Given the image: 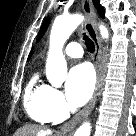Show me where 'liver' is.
<instances>
[{
  "instance_id": "1",
  "label": "liver",
  "mask_w": 136,
  "mask_h": 136,
  "mask_svg": "<svg viewBox=\"0 0 136 136\" xmlns=\"http://www.w3.org/2000/svg\"><path fill=\"white\" fill-rule=\"evenodd\" d=\"M52 131L49 129H42L38 125H25L18 129L14 136H50Z\"/></svg>"
}]
</instances>
